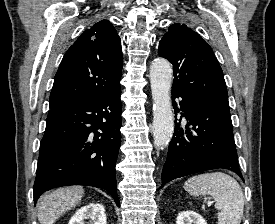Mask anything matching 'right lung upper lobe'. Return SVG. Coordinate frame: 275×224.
Here are the masks:
<instances>
[{"label":"right lung upper lobe","instance_id":"obj_1","mask_svg":"<svg viewBox=\"0 0 275 224\" xmlns=\"http://www.w3.org/2000/svg\"><path fill=\"white\" fill-rule=\"evenodd\" d=\"M121 39L107 20L83 32L55 75L50 109L84 103L120 88Z\"/></svg>","mask_w":275,"mask_h":224}]
</instances>
